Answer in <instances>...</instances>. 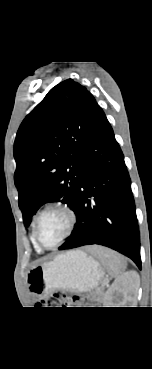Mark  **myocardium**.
<instances>
[{
	"label": "myocardium",
	"mask_w": 152,
	"mask_h": 369,
	"mask_svg": "<svg viewBox=\"0 0 152 369\" xmlns=\"http://www.w3.org/2000/svg\"><path fill=\"white\" fill-rule=\"evenodd\" d=\"M60 210L62 211L66 217H67V228L65 233L62 235V237L55 242L54 244L50 245V246H45L43 245L38 237V229H39V222L41 217L49 210ZM76 221H77V216L75 211L71 208V206H69L67 203L62 202V201H52L49 202L47 204H45L37 213L35 220H34V225H33V240L35 242V244L37 245L38 248L40 249H44V250H51L54 249L56 247H58L61 243H63L73 232L75 225H76Z\"/></svg>",
	"instance_id": "1"
}]
</instances>
